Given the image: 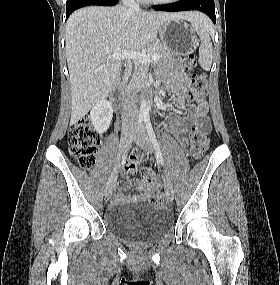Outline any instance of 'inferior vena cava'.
Here are the masks:
<instances>
[{
	"label": "inferior vena cava",
	"instance_id": "obj_1",
	"mask_svg": "<svg viewBox=\"0 0 280 285\" xmlns=\"http://www.w3.org/2000/svg\"><path fill=\"white\" fill-rule=\"evenodd\" d=\"M123 5L130 10H139V4L135 0H122ZM137 100L135 94L131 92L124 98L122 125L136 124L138 119Z\"/></svg>",
	"mask_w": 280,
	"mask_h": 285
}]
</instances>
